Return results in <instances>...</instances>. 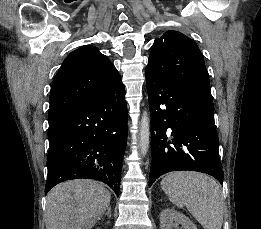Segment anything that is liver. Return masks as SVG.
Here are the masks:
<instances>
[{
    "mask_svg": "<svg viewBox=\"0 0 261 229\" xmlns=\"http://www.w3.org/2000/svg\"><path fill=\"white\" fill-rule=\"evenodd\" d=\"M111 201L105 187L90 179L56 185L46 197V229H92Z\"/></svg>",
    "mask_w": 261,
    "mask_h": 229,
    "instance_id": "1",
    "label": "liver"
}]
</instances>
